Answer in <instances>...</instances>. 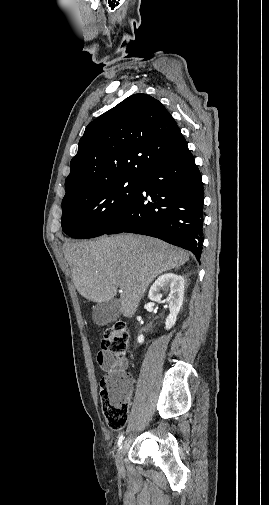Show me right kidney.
Wrapping results in <instances>:
<instances>
[{
	"label": "right kidney",
	"mask_w": 269,
	"mask_h": 505,
	"mask_svg": "<svg viewBox=\"0 0 269 505\" xmlns=\"http://www.w3.org/2000/svg\"><path fill=\"white\" fill-rule=\"evenodd\" d=\"M184 278L174 273H166L157 278L149 290L148 297L157 303L161 302V291L169 293L166 299L170 314L166 318L165 328L169 330L176 323L177 315L183 303L184 296ZM144 342V336L138 337V343Z\"/></svg>",
	"instance_id": "obj_1"
}]
</instances>
